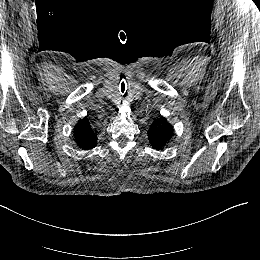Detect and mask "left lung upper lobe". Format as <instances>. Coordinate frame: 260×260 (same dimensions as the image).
Returning <instances> with one entry per match:
<instances>
[{
	"mask_svg": "<svg viewBox=\"0 0 260 260\" xmlns=\"http://www.w3.org/2000/svg\"><path fill=\"white\" fill-rule=\"evenodd\" d=\"M173 135V126L164 117L154 120L148 130V139L151 146L162 149Z\"/></svg>",
	"mask_w": 260,
	"mask_h": 260,
	"instance_id": "left-lung-upper-lobe-1",
	"label": "left lung upper lobe"
}]
</instances>
